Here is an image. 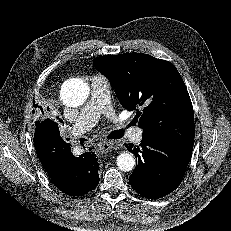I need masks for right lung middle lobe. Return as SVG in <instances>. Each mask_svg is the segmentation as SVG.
<instances>
[{
    "mask_svg": "<svg viewBox=\"0 0 231 231\" xmlns=\"http://www.w3.org/2000/svg\"><path fill=\"white\" fill-rule=\"evenodd\" d=\"M40 122H37L36 126L39 125Z\"/></svg>",
    "mask_w": 231,
    "mask_h": 231,
    "instance_id": "obj_1",
    "label": "right lung middle lobe"
}]
</instances>
